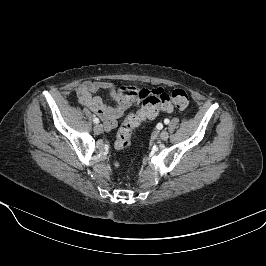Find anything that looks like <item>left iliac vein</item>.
I'll return each mask as SVG.
<instances>
[{"label": "left iliac vein", "instance_id": "1", "mask_svg": "<svg viewBox=\"0 0 266 266\" xmlns=\"http://www.w3.org/2000/svg\"><path fill=\"white\" fill-rule=\"evenodd\" d=\"M168 137H169V133L166 130H163L160 134L161 140L166 141Z\"/></svg>", "mask_w": 266, "mask_h": 266}]
</instances>
